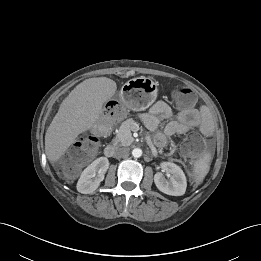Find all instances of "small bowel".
I'll list each match as a JSON object with an SVG mask.
<instances>
[{"instance_id":"1","label":"small bowel","mask_w":261,"mask_h":261,"mask_svg":"<svg viewBox=\"0 0 261 261\" xmlns=\"http://www.w3.org/2000/svg\"><path fill=\"white\" fill-rule=\"evenodd\" d=\"M173 115L172 108L165 101H157L150 110L141 115V121L151 131L159 128L162 122ZM193 128H198L204 136L213 133V121L206 109L188 108L178 113L177 119L169 121L162 132L154 135V143L158 147L167 144L168 137L183 134Z\"/></svg>"}]
</instances>
